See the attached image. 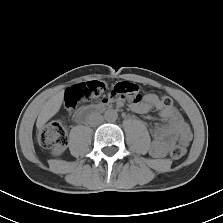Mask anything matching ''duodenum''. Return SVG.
<instances>
[{"mask_svg":"<svg viewBox=\"0 0 223 223\" xmlns=\"http://www.w3.org/2000/svg\"><path fill=\"white\" fill-rule=\"evenodd\" d=\"M109 108L110 107L108 105H97L94 108L85 109L80 113V119L82 121H86L92 114Z\"/></svg>","mask_w":223,"mask_h":223,"instance_id":"duodenum-1","label":"duodenum"}]
</instances>
